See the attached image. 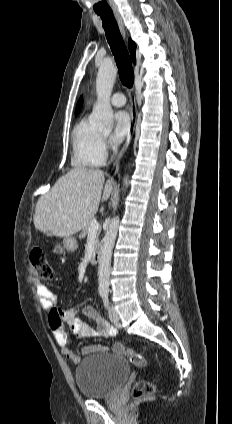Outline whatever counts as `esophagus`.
<instances>
[{
    "label": "esophagus",
    "mask_w": 232,
    "mask_h": 424,
    "mask_svg": "<svg viewBox=\"0 0 232 424\" xmlns=\"http://www.w3.org/2000/svg\"><path fill=\"white\" fill-rule=\"evenodd\" d=\"M114 16H115V19L118 23L120 31L125 36V28H124V24H123V21H122V18L120 16L119 12H114ZM135 94H136V90H135V88H133L132 92H131V99H130V102H131V129H130V132H129L127 138H126V141H125L121 151L119 152V154H118V156H117V158H116V160L113 164V167H112V173L113 174H115L116 171L118 170L119 162H120L121 158L123 157L124 153L126 152L128 146H129V144L132 140L134 132H135L136 121H137V105H136Z\"/></svg>",
    "instance_id": "obj_1"
}]
</instances>
